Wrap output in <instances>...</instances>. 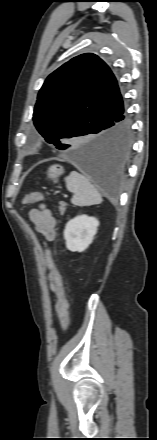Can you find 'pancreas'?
<instances>
[{"label":"pancreas","mask_w":157,"mask_h":440,"mask_svg":"<svg viewBox=\"0 0 157 440\" xmlns=\"http://www.w3.org/2000/svg\"><path fill=\"white\" fill-rule=\"evenodd\" d=\"M59 205H60V206H59L60 214L63 215L64 212H65V209H66L67 204H66L65 202H62V201H61V202L59 203Z\"/></svg>","instance_id":"1"}]
</instances>
